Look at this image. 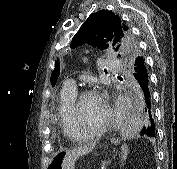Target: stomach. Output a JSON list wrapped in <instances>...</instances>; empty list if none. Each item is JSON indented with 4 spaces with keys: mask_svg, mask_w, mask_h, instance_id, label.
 Here are the masks:
<instances>
[{
    "mask_svg": "<svg viewBox=\"0 0 177 169\" xmlns=\"http://www.w3.org/2000/svg\"><path fill=\"white\" fill-rule=\"evenodd\" d=\"M64 159V153L55 154V156L50 161L48 169H63L62 162Z\"/></svg>",
    "mask_w": 177,
    "mask_h": 169,
    "instance_id": "stomach-1",
    "label": "stomach"
}]
</instances>
